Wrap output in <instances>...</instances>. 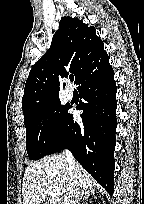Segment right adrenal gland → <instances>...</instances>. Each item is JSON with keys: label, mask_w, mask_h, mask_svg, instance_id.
Here are the masks:
<instances>
[{"label": "right adrenal gland", "mask_w": 144, "mask_h": 204, "mask_svg": "<svg viewBox=\"0 0 144 204\" xmlns=\"http://www.w3.org/2000/svg\"><path fill=\"white\" fill-rule=\"evenodd\" d=\"M93 193H94L93 190H91V192L89 190H85L82 192V195H85L84 197L88 198L90 196V194H93ZM81 199H82V197L79 198V201H81ZM79 201H78V204H79Z\"/></svg>", "instance_id": "obj_1"}]
</instances>
